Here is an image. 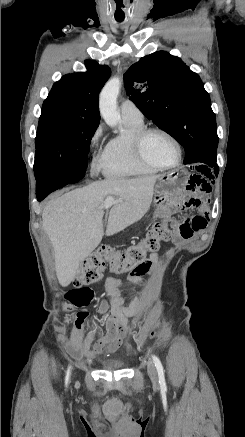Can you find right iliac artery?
Returning <instances> with one entry per match:
<instances>
[{
	"instance_id": "1",
	"label": "right iliac artery",
	"mask_w": 245,
	"mask_h": 437,
	"mask_svg": "<svg viewBox=\"0 0 245 437\" xmlns=\"http://www.w3.org/2000/svg\"><path fill=\"white\" fill-rule=\"evenodd\" d=\"M70 370H71V367H68V370H67V373H66V379H65L66 385L68 384V380H69V376H70Z\"/></svg>"
}]
</instances>
